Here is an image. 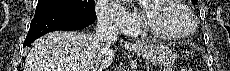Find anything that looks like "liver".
<instances>
[{"mask_svg": "<svg viewBox=\"0 0 230 71\" xmlns=\"http://www.w3.org/2000/svg\"><path fill=\"white\" fill-rule=\"evenodd\" d=\"M113 59V51L95 47L91 35L59 31L46 34L33 43L24 71H102Z\"/></svg>", "mask_w": 230, "mask_h": 71, "instance_id": "1", "label": "liver"}]
</instances>
